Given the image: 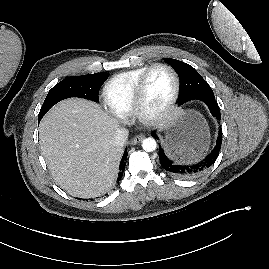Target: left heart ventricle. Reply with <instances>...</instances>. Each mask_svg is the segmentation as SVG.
Here are the masks:
<instances>
[{"mask_svg": "<svg viewBox=\"0 0 269 269\" xmlns=\"http://www.w3.org/2000/svg\"><path fill=\"white\" fill-rule=\"evenodd\" d=\"M174 87L171 73L165 68L154 69L145 87V107L149 112L162 109L169 100Z\"/></svg>", "mask_w": 269, "mask_h": 269, "instance_id": "b2bd125f", "label": "left heart ventricle"}]
</instances>
